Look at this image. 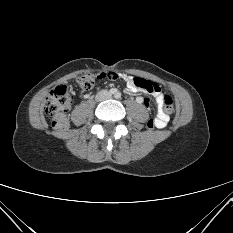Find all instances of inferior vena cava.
Returning <instances> with one entry per match:
<instances>
[{
    "instance_id": "602c4592",
    "label": "inferior vena cava",
    "mask_w": 233,
    "mask_h": 233,
    "mask_svg": "<svg viewBox=\"0 0 233 233\" xmlns=\"http://www.w3.org/2000/svg\"><path fill=\"white\" fill-rule=\"evenodd\" d=\"M109 96L110 95L108 94V92H103V93L98 94V99L105 100V99L109 98Z\"/></svg>"
}]
</instances>
